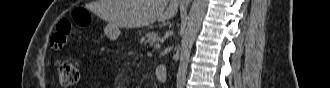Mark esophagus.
<instances>
[{
	"label": "esophagus",
	"mask_w": 330,
	"mask_h": 88,
	"mask_svg": "<svg viewBox=\"0 0 330 88\" xmlns=\"http://www.w3.org/2000/svg\"><path fill=\"white\" fill-rule=\"evenodd\" d=\"M191 0H182V3L188 4Z\"/></svg>",
	"instance_id": "obj_1"
}]
</instances>
